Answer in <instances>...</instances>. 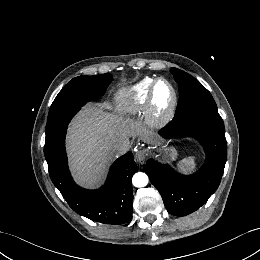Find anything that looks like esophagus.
<instances>
[{
  "mask_svg": "<svg viewBox=\"0 0 260 260\" xmlns=\"http://www.w3.org/2000/svg\"><path fill=\"white\" fill-rule=\"evenodd\" d=\"M148 150L147 149H141L135 153V161L139 164H143L148 157Z\"/></svg>",
  "mask_w": 260,
  "mask_h": 260,
  "instance_id": "esophagus-1",
  "label": "esophagus"
}]
</instances>
